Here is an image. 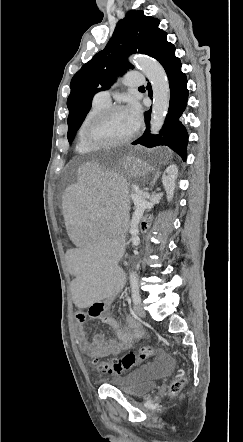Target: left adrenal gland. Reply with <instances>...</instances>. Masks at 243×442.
Listing matches in <instances>:
<instances>
[{"label":"left adrenal gland","instance_id":"left-adrenal-gland-1","mask_svg":"<svg viewBox=\"0 0 243 442\" xmlns=\"http://www.w3.org/2000/svg\"><path fill=\"white\" fill-rule=\"evenodd\" d=\"M158 177H159V172L157 171V172L155 173V177H154V180H153L152 183H151V186L154 185V183H155V181L158 179Z\"/></svg>","mask_w":243,"mask_h":442}]
</instances>
